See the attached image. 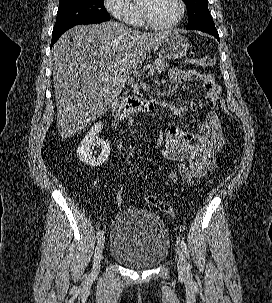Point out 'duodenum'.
Listing matches in <instances>:
<instances>
[{"mask_svg":"<svg viewBox=\"0 0 272 303\" xmlns=\"http://www.w3.org/2000/svg\"><path fill=\"white\" fill-rule=\"evenodd\" d=\"M162 104L160 97L144 99L137 103H130L124 100L116 101L111 108L112 115L117 120H122L133 110L153 112L159 109Z\"/></svg>","mask_w":272,"mask_h":303,"instance_id":"1","label":"duodenum"}]
</instances>
